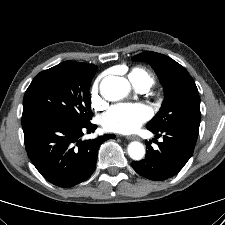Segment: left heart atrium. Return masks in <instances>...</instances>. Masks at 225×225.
Segmentation results:
<instances>
[{"label":"left heart atrium","mask_w":225,"mask_h":225,"mask_svg":"<svg viewBox=\"0 0 225 225\" xmlns=\"http://www.w3.org/2000/svg\"><path fill=\"white\" fill-rule=\"evenodd\" d=\"M151 116L148 106L140 103H121L111 107L101 117L105 130L129 134L136 131Z\"/></svg>","instance_id":"1"}]
</instances>
